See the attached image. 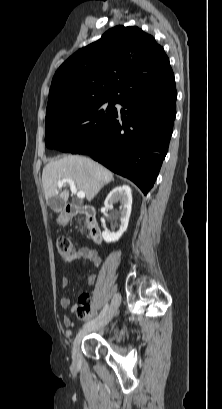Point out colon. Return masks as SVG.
<instances>
[{
	"label": "colon",
	"instance_id": "colon-1",
	"mask_svg": "<svg viewBox=\"0 0 222 409\" xmlns=\"http://www.w3.org/2000/svg\"><path fill=\"white\" fill-rule=\"evenodd\" d=\"M56 247L58 256L63 261L68 260L76 250L74 242L66 237L59 238L57 240ZM77 312L80 317H87L89 314L88 305H81L80 307H78Z\"/></svg>",
	"mask_w": 222,
	"mask_h": 409
}]
</instances>
